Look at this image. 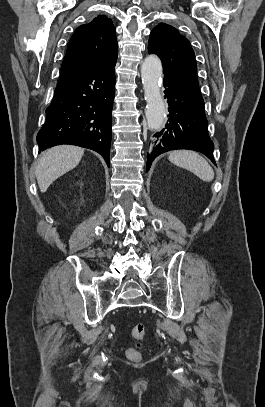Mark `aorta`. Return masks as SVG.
Segmentation results:
<instances>
[{
	"label": "aorta",
	"instance_id": "obj_1",
	"mask_svg": "<svg viewBox=\"0 0 265 407\" xmlns=\"http://www.w3.org/2000/svg\"><path fill=\"white\" fill-rule=\"evenodd\" d=\"M162 64L156 55H149L141 66L144 99L147 103L145 115L150 130L159 129L166 117V106L161 95Z\"/></svg>",
	"mask_w": 265,
	"mask_h": 407
}]
</instances>
